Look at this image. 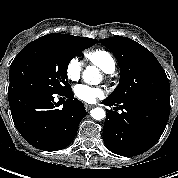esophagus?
I'll use <instances>...</instances> for the list:
<instances>
[{
    "mask_svg": "<svg viewBox=\"0 0 178 178\" xmlns=\"http://www.w3.org/2000/svg\"><path fill=\"white\" fill-rule=\"evenodd\" d=\"M94 106L93 105H90V104H85V109L86 111H89L91 108H93Z\"/></svg>",
    "mask_w": 178,
    "mask_h": 178,
    "instance_id": "1",
    "label": "esophagus"
}]
</instances>
